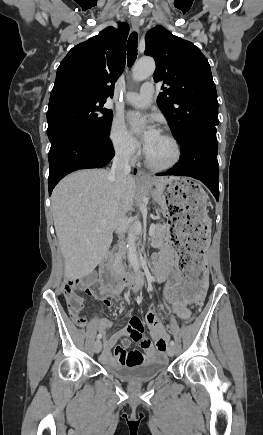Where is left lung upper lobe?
<instances>
[{"mask_svg":"<svg viewBox=\"0 0 263 435\" xmlns=\"http://www.w3.org/2000/svg\"><path fill=\"white\" fill-rule=\"evenodd\" d=\"M145 54L155 59V82L163 81L157 104L166 116L175 138L215 129L218 101L210 65L200 49L162 26L149 30Z\"/></svg>","mask_w":263,"mask_h":435,"instance_id":"obj_1","label":"left lung upper lobe"}]
</instances>
